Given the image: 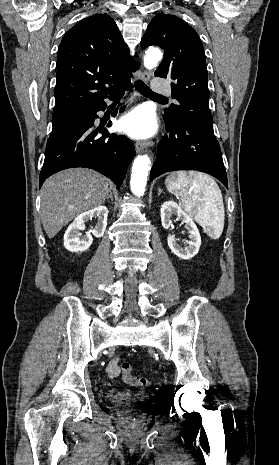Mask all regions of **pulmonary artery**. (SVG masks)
Here are the masks:
<instances>
[{
    "label": "pulmonary artery",
    "mask_w": 279,
    "mask_h": 465,
    "mask_svg": "<svg viewBox=\"0 0 279 465\" xmlns=\"http://www.w3.org/2000/svg\"><path fill=\"white\" fill-rule=\"evenodd\" d=\"M153 89L158 94H170L169 86L161 81H155Z\"/></svg>",
    "instance_id": "1"
}]
</instances>
